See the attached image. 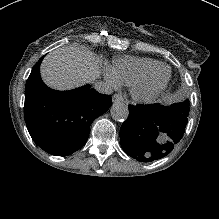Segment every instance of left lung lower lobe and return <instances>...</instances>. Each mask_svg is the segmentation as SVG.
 Returning a JSON list of instances; mask_svg holds the SVG:
<instances>
[{
  "label": "left lung lower lobe",
  "instance_id": "0a47b994",
  "mask_svg": "<svg viewBox=\"0 0 219 219\" xmlns=\"http://www.w3.org/2000/svg\"><path fill=\"white\" fill-rule=\"evenodd\" d=\"M128 108L129 117L121 126L120 142L123 150L138 161L166 156L182 138L188 114L160 104Z\"/></svg>",
  "mask_w": 219,
  "mask_h": 219
}]
</instances>
